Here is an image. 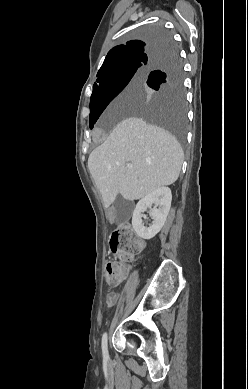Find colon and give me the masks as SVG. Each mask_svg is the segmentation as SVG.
<instances>
[{"mask_svg":"<svg viewBox=\"0 0 248 389\" xmlns=\"http://www.w3.org/2000/svg\"><path fill=\"white\" fill-rule=\"evenodd\" d=\"M143 247L141 239L134 233L129 225H124L115 231L109 243L110 253L114 256H120L121 261H132L133 256ZM106 279L110 286L118 285L125 276V267L114 262H108L106 265Z\"/></svg>","mask_w":248,"mask_h":389,"instance_id":"1","label":"colon"}]
</instances>
